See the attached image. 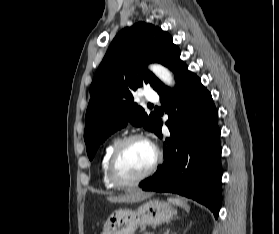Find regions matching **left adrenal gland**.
<instances>
[{"label":"left adrenal gland","instance_id":"obj_1","mask_svg":"<svg viewBox=\"0 0 279 234\" xmlns=\"http://www.w3.org/2000/svg\"><path fill=\"white\" fill-rule=\"evenodd\" d=\"M169 232H170V229H167L164 234H169Z\"/></svg>","mask_w":279,"mask_h":234}]
</instances>
